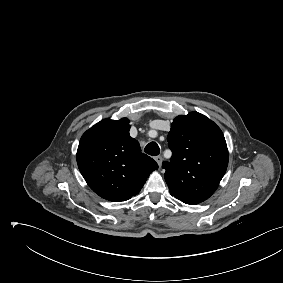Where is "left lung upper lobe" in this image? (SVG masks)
Listing matches in <instances>:
<instances>
[{
	"label": "left lung upper lobe",
	"mask_w": 283,
	"mask_h": 283,
	"mask_svg": "<svg viewBox=\"0 0 283 283\" xmlns=\"http://www.w3.org/2000/svg\"><path fill=\"white\" fill-rule=\"evenodd\" d=\"M167 140L172 157L162 167L170 194L189 205L205 201L216 191L228 166L221 129L206 116L191 112L173 120Z\"/></svg>",
	"instance_id": "5c2ea615"
}]
</instances>
